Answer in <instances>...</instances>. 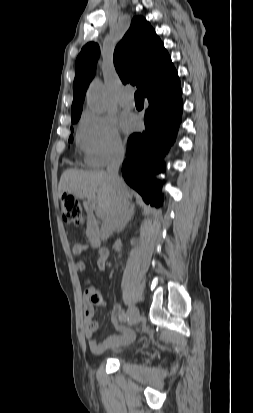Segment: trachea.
<instances>
[{
	"instance_id": "1",
	"label": "trachea",
	"mask_w": 253,
	"mask_h": 413,
	"mask_svg": "<svg viewBox=\"0 0 253 413\" xmlns=\"http://www.w3.org/2000/svg\"><path fill=\"white\" fill-rule=\"evenodd\" d=\"M144 97H143V92H142V90H137L136 92H135V99H143Z\"/></svg>"
}]
</instances>
